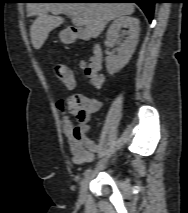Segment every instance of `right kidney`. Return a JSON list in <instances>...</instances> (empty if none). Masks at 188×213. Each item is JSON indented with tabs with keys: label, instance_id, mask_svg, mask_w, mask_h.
<instances>
[{
	"label": "right kidney",
	"instance_id": "1",
	"mask_svg": "<svg viewBox=\"0 0 188 213\" xmlns=\"http://www.w3.org/2000/svg\"><path fill=\"white\" fill-rule=\"evenodd\" d=\"M121 27L128 28L127 37L117 50L118 54L106 57V68L109 74L113 75L125 67L130 61L138 44L140 22L137 18L122 16L113 21L107 31V39L115 42L120 38Z\"/></svg>",
	"mask_w": 188,
	"mask_h": 213
}]
</instances>
